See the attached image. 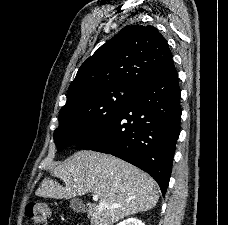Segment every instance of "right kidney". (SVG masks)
<instances>
[{"instance_id": "right-kidney-1", "label": "right kidney", "mask_w": 228, "mask_h": 225, "mask_svg": "<svg viewBox=\"0 0 228 225\" xmlns=\"http://www.w3.org/2000/svg\"><path fill=\"white\" fill-rule=\"evenodd\" d=\"M118 225H144V223L136 219V217H130V219H125V221H121Z\"/></svg>"}]
</instances>
